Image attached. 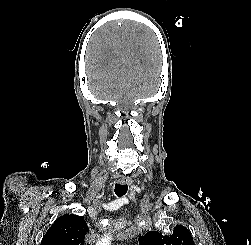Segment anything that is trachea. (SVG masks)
Segmentation results:
<instances>
[{"label":"trachea","mask_w":251,"mask_h":245,"mask_svg":"<svg viewBox=\"0 0 251 245\" xmlns=\"http://www.w3.org/2000/svg\"><path fill=\"white\" fill-rule=\"evenodd\" d=\"M127 190H128L127 184H116L114 189L115 194L119 197L125 195Z\"/></svg>","instance_id":"1"}]
</instances>
